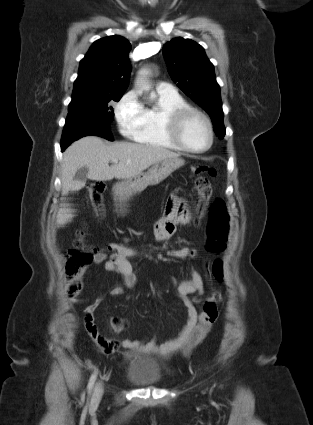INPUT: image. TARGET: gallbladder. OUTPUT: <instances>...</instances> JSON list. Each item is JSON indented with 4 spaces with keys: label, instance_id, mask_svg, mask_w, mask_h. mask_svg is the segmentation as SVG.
<instances>
[{
    "label": "gallbladder",
    "instance_id": "obj_1",
    "mask_svg": "<svg viewBox=\"0 0 313 425\" xmlns=\"http://www.w3.org/2000/svg\"><path fill=\"white\" fill-rule=\"evenodd\" d=\"M87 175H88L87 167H82L76 172L74 179L75 181H80L82 183H85L88 178Z\"/></svg>",
    "mask_w": 313,
    "mask_h": 425
}]
</instances>
